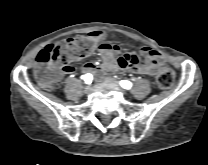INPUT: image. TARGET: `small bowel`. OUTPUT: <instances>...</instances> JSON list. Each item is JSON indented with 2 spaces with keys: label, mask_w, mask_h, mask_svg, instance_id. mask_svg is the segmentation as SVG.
Wrapping results in <instances>:
<instances>
[{
  "label": "small bowel",
  "mask_w": 208,
  "mask_h": 165,
  "mask_svg": "<svg viewBox=\"0 0 208 165\" xmlns=\"http://www.w3.org/2000/svg\"><path fill=\"white\" fill-rule=\"evenodd\" d=\"M96 41V49L102 57V64L100 66L96 65L93 62H88L83 66V69L91 73H101L114 71L117 69H123L135 74H143L153 76L157 73L159 68V63L161 60L160 54L150 48L143 47L141 48V55L143 60L131 53L130 57L126 60V54L122 55L117 59L116 55L119 51L117 45L110 43L102 42V40L107 36V32L104 30H95L89 34ZM78 70V67L74 63H69L63 66L62 71L66 75L74 74Z\"/></svg>",
  "instance_id": "c3829d8e"
}]
</instances>
